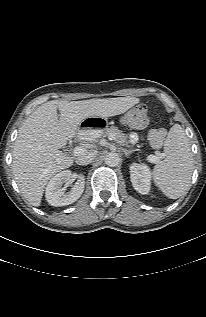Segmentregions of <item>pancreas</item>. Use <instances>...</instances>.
Instances as JSON below:
<instances>
[{
  "instance_id": "obj_1",
  "label": "pancreas",
  "mask_w": 206,
  "mask_h": 317,
  "mask_svg": "<svg viewBox=\"0 0 206 317\" xmlns=\"http://www.w3.org/2000/svg\"><path fill=\"white\" fill-rule=\"evenodd\" d=\"M101 135L108 136V137L110 135H113L116 143L123 145V146H129L128 136L126 134L122 133V131L119 130L118 127L111 126L110 128H106L102 134H99V136H101ZM86 139L94 140V139H91L88 136V134L86 136Z\"/></svg>"
}]
</instances>
